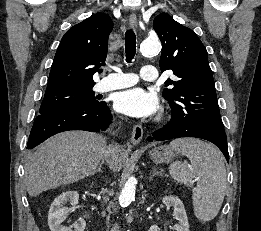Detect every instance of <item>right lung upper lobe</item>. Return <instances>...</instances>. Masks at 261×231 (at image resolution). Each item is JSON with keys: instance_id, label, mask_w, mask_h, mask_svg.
Listing matches in <instances>:
<instances>
[{"instance_id": "cb5924a9", "label": "right lung upper lobe", "mask_w": 261, "mask_h": 231, "mask_svg": "<svg viewBox=\"0 0 261 231\" xmlns=\"http://www.w3.org/2000/svg\"><path fill=\"white\" fill-rule=\"evenodd\" d=\"M111 18L97 13L71 27L55 54L47 89L93 87V74L105 65Z\"/></svg>"}]
</instances>
